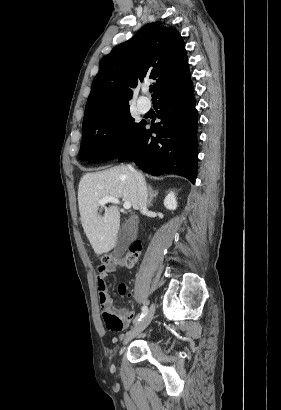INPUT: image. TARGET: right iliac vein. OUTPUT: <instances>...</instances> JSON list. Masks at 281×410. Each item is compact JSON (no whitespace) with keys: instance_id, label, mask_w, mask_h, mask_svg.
Masks as SVG:
<instances>
[{"instance_id":"63e3f726","label":"right iliac vein","mask_w":281,"mask_h":410,"mask_svg":"<svg viewBox=\"0 0 281 410\" xmlns=\"http://www.w3.org/2000/svg\"><path fill=\"white\" fill-rule=\"evenodd\" d=\"M154 312H155V307L154 305H151L150 310L145 316V318L136 327H134L132 330H130L126 334L124 341H123L124 345L128 344L133 338L138 336L141 332H143L147 328V326L150 324L154 316Z\"/></svg>"}]
</instances>
